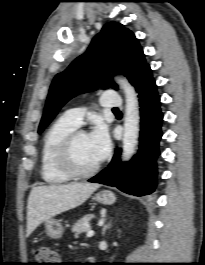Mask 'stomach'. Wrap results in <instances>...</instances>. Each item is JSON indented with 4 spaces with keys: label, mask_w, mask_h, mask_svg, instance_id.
Segmentation results:
<instances>
[{
    "label": "stomach",
    "mask_w": 205,
    "mask_h": 265,
    "mask_svg": "<svg viewBox=\"0 0 205 265\" xmlns=\"http://www.w3.org/2000/svg\"><path fill=\"white\" fill-rule=\"evenodd\" d=\"M94 199L102 204L111 205L115 202V195L109 190H103L97 193ZM45 228L48 236L52 239H59L63 234V227L56 219H49L45 221Z\"/></svg>",
    "instance_id": "stomach-1"
}]
</instances>
